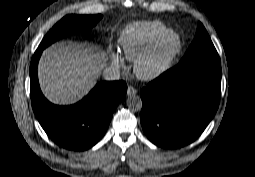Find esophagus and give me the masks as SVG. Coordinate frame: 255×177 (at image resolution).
Here are the masks:
<instances>
[{
  "label": "esophagus",
  "mask_w": 255,
  "mask_h": 177,
  "mask_svg": "<svg viewBox=\"0 0 255 177\" xmlns=\"http://www.w3.org/2000/svg\"><path fill=\"white\" fill-rule=\"evenodd\" d=\"M137 94V90L133 86H128L127 95L135 96Z\"/></svg>",
  "instance_id": "1"
}]
</instances>
